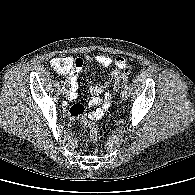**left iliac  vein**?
<instances>
[{
    "instance_id": "obj_1",
    "label": "left iliac vein",
    "mask_w": 195,
    "mask_h": 195,
    "mask_svg": "<svg viewBox=\"0 0 195 195\" xmlns=\"http://www.w3.org/2000/svg\"><path fill=\"white\" fill-rule=\"evenodd\" d=\"M121 99L122 100H126L127 98H128V93H127V91L126 90H123L122 92H121Z\"/></svg>"
}]
</instances>
